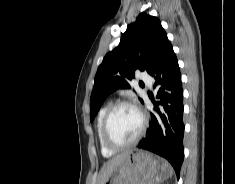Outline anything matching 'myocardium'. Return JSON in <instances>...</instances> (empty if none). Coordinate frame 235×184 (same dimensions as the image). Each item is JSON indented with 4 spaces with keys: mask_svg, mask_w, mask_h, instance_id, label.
I'll list each match as a JSON object with an SVG mask.
<instances>
[{
    "mask_svg": "<svg viewBox=\"0 0 235 184\" xmlns=\"http://www.w3.org/2000/svg\"><path fill=\"white\" fill-rule=\"evenodd\" d=\"M122 107H131L135 109L141 116V126L137 135L132 140L125 142V143H120V142H116L115 140H113L111 137V131H110V124H111L112 116L119 108H122ZM147 125H148V117L146 113L138 105L130 101H119L110 106V108L108 109L104 117L103 127H102L103 142L109 150L114 151V152L131 147L135 145L136 143H138L140 139L143 137L146 131Z\"/></svg>",
    "mask_w": 235,
    "mask_h": 184,
    "instance_id": "f54148a6",
    "label": "myocardium"
}]
</instances>
